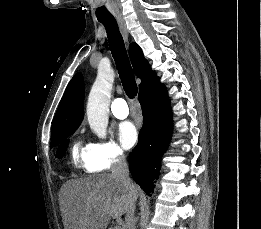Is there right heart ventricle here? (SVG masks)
Listing matches in <instances>:
<instances>
[{
  "label": "right heart ventricle",
  "mask_w": 261,
  "mask_h": 229,
  "mask_svg": "<svg viewBox=\"0 0 261 229\" xmlns=\"http://www.w3.org/2000/svg\"><path fill=\"white\" fill-rule=\"evenodd\" d=\"M89 153H90L89 145L81 146L80 144H75L71 150L73 163L78 167L88 166Z\"/></svg>",
  "instance_id": "1"
}]
</instances>
